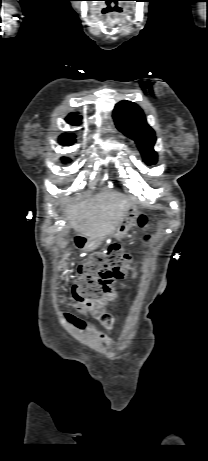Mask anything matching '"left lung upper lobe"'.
<instances>
[{
  "mask_svg": "<svg viewBox=\"0 0 208 461\" xmlns=\"http://www.w3.org/2000/svg\"><path fill=\"white\" fill-rule=\"evenodd\" d=\"M113 118L117 128L126 136L135 140L144 161L153 165L157 161V153L153 150L156 141L155 132L147 124L142 109L131 101L116 104Z\"/></svg>",
  "mask_w": 208,
  "mask_h": 461,
  "instance_id": "left-lung-upper-lobe-1",
  "label": "left lung upper lobe"
}]
</instances>
